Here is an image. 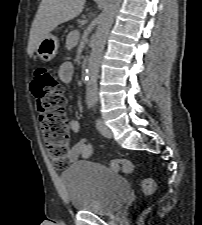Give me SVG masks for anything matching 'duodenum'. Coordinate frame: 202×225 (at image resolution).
<instances>
[{"mask_svg":"<svg viewBox=\"0 0 202 225\" xmlns=\"http://www.w3.org/2000/svg\"><path fill=\"white\" fill-rule=\"evenodd\" d=\"M87 70H88V59L84 58L81 65V77L84 79L87 76Z\"/></svg>","mask_w":202,"mask_h":225,"instance_id":"1","label":"duodenum"}]
</instances>
